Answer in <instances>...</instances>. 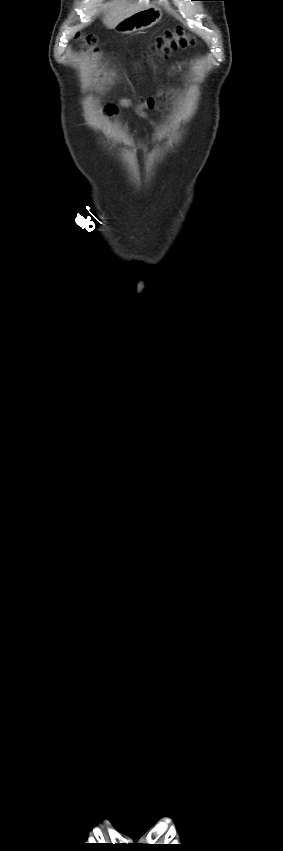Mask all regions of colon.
Listing matches in <instances>:
<instances>
[{
  "instance_id": "colon-1",
  "label": "colon",
  "mask_w": 283,
  "mask_h": 851,
  "mask_svg": "<svg viewBox=\"0 0 283 851\" xmlns=\"http://www.w3.org/2000/svg\"><path fill=\"white\" fill-rule=\"evenodd\" d=\"M78 43L89 52H96V38L93 35L79 34ZM195 44V39L190 37L182 27H176L165 31L156 37L151 45V52L160 58L176 48H184Z\"/></svg>"
}]
</instances>
